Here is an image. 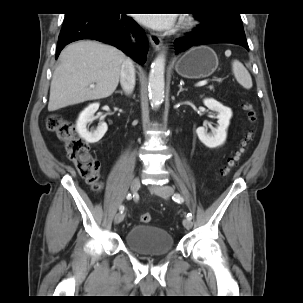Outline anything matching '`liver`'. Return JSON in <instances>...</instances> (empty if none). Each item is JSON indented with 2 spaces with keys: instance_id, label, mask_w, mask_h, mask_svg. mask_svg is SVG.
I'll list each match as a JSON object with an SVG mask.
<instances>
[{
  "instance_id": "1",
  "label": "liver",
  "mask_w": 303,
  "mask_h": 303,
  "mask_svg": "<svg viewBox=\"0 0 303 303\" xmlns=\"http://www.w3.org/2000/svg\"><path fill=\"white\" fill-rule=\"evenodd\" d=\"M125 59L117 48L95 41H78L65 47L53 73L48 111L112 95Z\"/></svg>"
}]
</instances>
